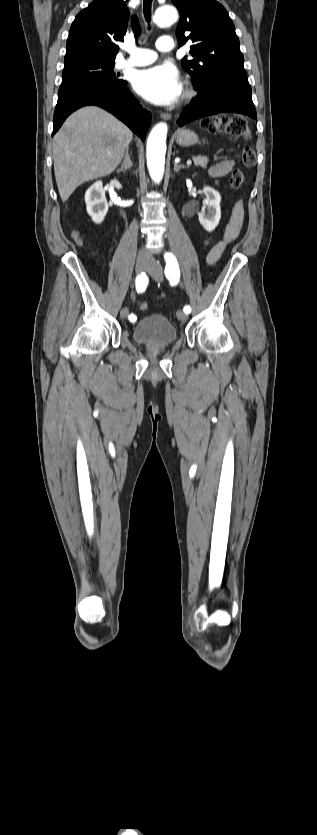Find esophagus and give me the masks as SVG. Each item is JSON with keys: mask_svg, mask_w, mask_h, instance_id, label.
Returning <instances> with one entry per match:
<instances>
[{"mask_svg": "<svg viewBox=\"0 0 317 835\" xmlns=\"http://www.w3.org/2000/svg\"><path fill=\"white\" fill-rule=\"evenodd\" d=\"M160 117H161L162 119H164V120H170V119H171V114H169V113H161V114H160Z\"/></svg>", "mask_w": 317, "mask_h": 835, "instance_id": "obj_1", "label": "esophagus"}]
</instances>
